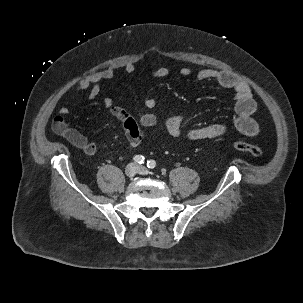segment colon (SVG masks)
Instances as JSON below:
<instances>
[{
  "mask_svg": "<svg viewBox=\"0 0 303 303\" xmlns=\"http://www.w3.org/2000/svg\"><path fill=\"white\" fill-rule=\"evenodd\" d=\"M233 147L239 151L247 152L252 156H261L263 151L260 146L251 144L242 140H236L232 143Z\"/></svg>",
  "mask_w": 303,
  "mask_h": 303,
  "instance_id": "1",
  "label": "colon"
}]
</instances>
